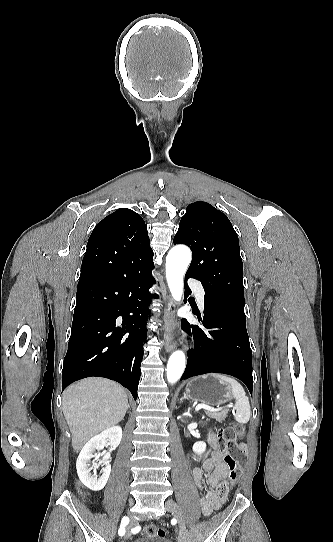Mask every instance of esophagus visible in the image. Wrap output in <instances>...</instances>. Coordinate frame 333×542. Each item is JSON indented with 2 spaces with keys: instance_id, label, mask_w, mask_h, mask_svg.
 Listing matches in <instances>:
<instances>
[{
  "instance_id": "34e87169",
  "label": "esophagus",
  "mask_w": 333,
  "mask_h": 542,
  "mask_svg": "<svg viewBox=\"0 0 333 542\" xmlns=\"http://www.w3.org/2000/svg\"><path fill=\"white\" fill-rule=\"evenodd\" d=\"M175 314L176 304L171 298H169L165 309L166 330L164 332V342L166 352H172L176 346L174 340V328L176 325Z\"/></svg>"
}]
</instances>
